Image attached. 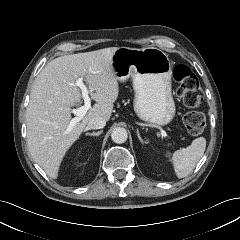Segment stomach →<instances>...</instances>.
Returning a JSON list of instances; mask_svg holds the SVG:
<instances>
[{
    "instance_id": "obj_1",
    "label": "stomach",
    "mask_w": 240,
    "mask_h": 240,
    "mask_svg": "<svg viewBox=\"0 0 240 240\" xmlns=\"http://www.w3.org/2000/svg\"><path fill=\"white\" fill-rule=\"evenodd\" d=\"M112 67L118 81L132 78L134 111L140 119L159 126L173 119L172 63L165 52L155 47H120L113 54Z\"/></svg>"
}]
</instances>
